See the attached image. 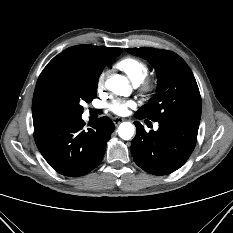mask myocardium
<instances>
[{"label": "myocardium", "instance_id": "1", "mask_svg": "<svg viewBox=\"0 0 233 233\" xmlns=\"http://www.w3.org/2000/svg\"><path fill=\"white\" fill-rule=\"evenodd\" d=\"M140 89L145 94H150L155 89V81L152 78H144L140 83Z\"/></svg>", "mask_w": 233, "mask_h": 233}]
</instances>
